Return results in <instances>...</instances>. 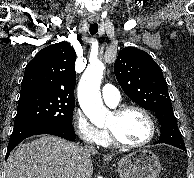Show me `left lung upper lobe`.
I'll list each match as a JSON object with an SVG mask.
<instances>
[{
    "label": "left lung upper lobe",
    "mask_w": 194,
    "mask_h": 178,
    "mask_svg": "<svg viewBox=\"0 0 194 178\" xmlns=\"http://www.w3.org/2000/svg\"><path fill=\"white\" fill-rule=\"evenodd\" d=\"M114 72L126 95L153 111L161 126L177 123L162 70L148 53L124 48L115 61Z\"/></svg>",
    "instance_id": "obj_1"
}]
</instances>
